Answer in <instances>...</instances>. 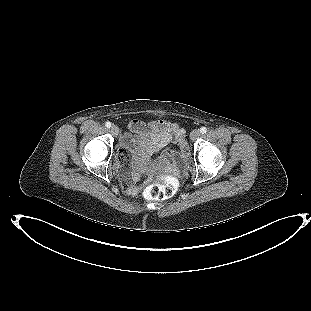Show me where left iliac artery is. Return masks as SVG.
<instances>
[{
    "label": "left iliac artery",
    "instance_id": "44dca946",
    "mask_svg": "<svg viewBox=\"0 0 311 311\" xmlns=\"http://www.w3.org/2000/svg\"><path fill=\"white\" fill-rule=\"evenodd\" d=\"M200 132L202 133V134H204V133H206L207 132V128L206 127H201L200 128Z\"/></svg>",
    "mask_w": 311,
    "mask_h": 311
}]
</instances>
